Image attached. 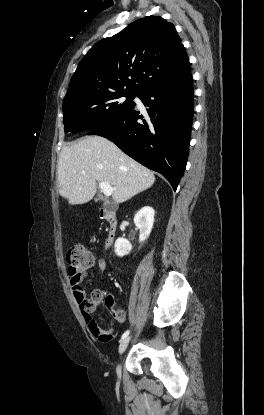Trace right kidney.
<instances>
[{
	"label": "right kidney",
	"instance_id": "1",
	"mask_svg": "<svg viewBox=\"0 0 264 415\" xmlns=\"http://www.w3.org/2000/svg\"><path fill=\"white\" fill-rule=\"evenodd\" d=\"M155 211L150 206H145L139 210L134 216V223L139 229V242L145 241L153 228ZM115 253L119 257H123L132 250L131 243L125 238H118L115 241Z\"/></svg>",
	"mask_w": 264,
	"mask_h": 415
}]
</instances>
